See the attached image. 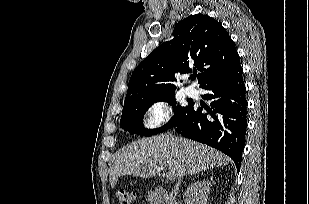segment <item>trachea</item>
I'll return each instance as SVG.
<instances>
[{"label":"trachea","instance_id":"3493384b","mask_svg":"<svg viewBox=\"0 0 309 204\" xmlns=\"http://www.w3.org/2000/svg\"><path fill=\"white\" fill-rule=\"evenodd\" d=\"M195 78H196V75L191 76V79H195Z\"/></svg>","mask_w":309,"mask_h":204}]
</instances>
